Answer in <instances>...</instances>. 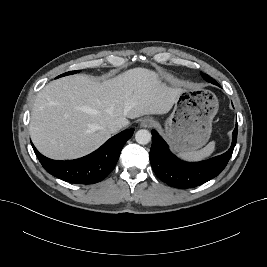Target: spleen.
I'll return each mask as SVG.
<instances>
[{
	"mask_svg": "<svg viewBox=\"0 0 267 267\" xmlns=\"http://www.w3.org/2000/svg\"><path fill=\"white\" fill-rule=\"evenodd\" d=\"M216 142L212 141L203 149L179 153V156L187 161H200L209 157L215 151Z\"/></svg>",
	"mask_w": 267,
	"mask_h": 267,
	"instance_id": "1",
	"label": "spleen"
}]
</instances>
